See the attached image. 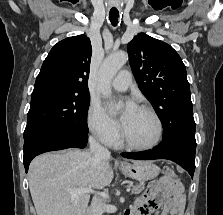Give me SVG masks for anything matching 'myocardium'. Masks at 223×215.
I'll return each mask as SVG.
<instances>
[{"instance_id":"myocardium-1","label":"myocardium","mask_w":223,"mask_h":215,"mask_svg":"<svg viewBox=\"0 0 223 215\" xmlns=\"http://www.w3.org/2000/svg\"><path fill=\"white\" fill-rule=\"evenodd\" d=\"M137 109H140V110H143V111L147 112L152 117V119L154 120V123H155V126H156L155 138L148 145H143V146L135 145V144H132L128 141H125L122 138V130H121V127H120L119 128L118 142L122 147H124L126 149H129V150L145 151V150L154 149L159 144V142L161 140V137H162L163 128H162L161 120H160L159 116L157 115V113L155 112V110L148 105H145V104L139 105V106H137Z\"/></svg>"}]
</instances>
